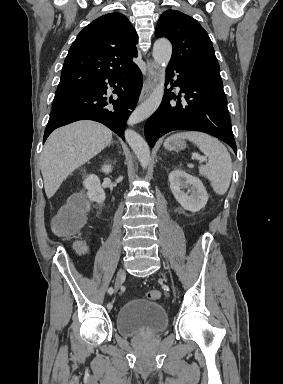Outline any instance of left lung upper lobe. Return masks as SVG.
<instances>
[{
	"instance_id": "obj_1",
	"label": "left lung upper lobe",
	"mask_w": 283,
	"mask_h": 384,
	"mask_svg": "<svg viewBox=\"0 0 283 384\" xmlns=\"http://www.w3.org/2000/svg\"><path fill=\"white\" fill-rule=\"evenodd\" d=\"M155 36L165 37L172 43L169 66L194 75L221 80L212 42L194 18L177 10H167L158 20Z\"/></svg>"
}]
</instances>
